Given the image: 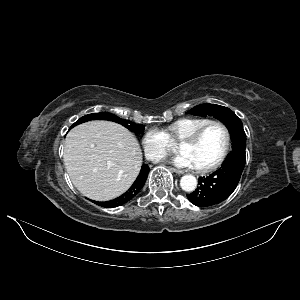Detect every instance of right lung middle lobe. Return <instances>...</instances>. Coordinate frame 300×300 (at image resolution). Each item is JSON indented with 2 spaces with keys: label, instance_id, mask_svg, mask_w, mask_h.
Instances as JSON below:
<instances>
[{
  "label": "right lung middle lobe",
  "instance_id": "dd1d6c3e",
  "mask_svg": "<svg viewBox=\"0 0 300 300\" xmlns=\"http://www.w3.org/2000/svg\"><path fill=\"white\" fill-rule=\"evenodd\" d=\"M109 120V121H114L116 123H119L123 126H125L126 128H128L129 130L133 131V132H137V133H142L144 126L142 124H135L131 121L128 120H123L121 118H118L117 116L111 114V113H93V114H88L86 116H83L82 118H80L78 121H76L72 126H76L78 124H81L83 122L86 121H90V120Z\"/></svg>",
  "mask_w": 300,
  "mask_h": 300
}]
</instances>
